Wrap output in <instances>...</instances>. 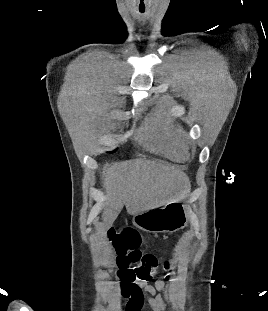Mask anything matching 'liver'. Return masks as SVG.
Wrapping results in <instances>:
<instances>
[{
	"label": "liver",
	"instance_id": "liver-1",
	"mask_svg": "<svg viewBox=\"0 0 268 311\" xmlns=\"http://www.w3.org/2000/svg\"><path fill=\"white\" fill-rule=\"evenodd\" d=\"M103 230L108 229L124 205L129 214L157 208L180 199L188 178L180 170L157 162L135 160L106 165L102 172Z\"/></svg>",
	"mask_w": 268,
	"mask_h": 311
}]
</instances>
